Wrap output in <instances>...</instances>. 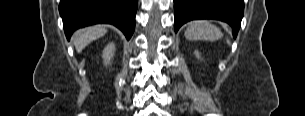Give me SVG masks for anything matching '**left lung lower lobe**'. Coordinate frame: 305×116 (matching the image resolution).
Returning <instances> with one entry per match:
<instances>
[{"label":"left lung lower lobe","instance_id":"left-lung-lower-lobe-1","mask_svg":"<svg viewBox=\"0 0 305 116\" xmlns=\"http://www.w3.org/2000/svg\"><path fill=\"white\" fill-rule=\"evenodd\" d=\"M175 31L196 19H216L228 23L236 37L243 17V0H174Z\"/></svg>","mask_w":305,"mask_h":116}]
</instances>
